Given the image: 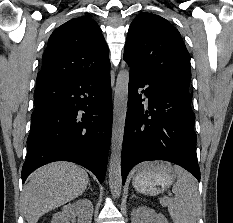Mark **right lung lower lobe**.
Returning a JSON list of instances; mask_svg holds the SVG:
<instances>
[{"mask_svg": "<svg viewBox=\"0 0 233 223\" xmlns=\"http://www.w3.org/2000/svg\"><path fill=\"white\" fill-rule=\"evenodd\" d=\"M22 181L53 161H71L104 181L112 128L110 67L37 86Z\"/></svg>", "mask_w": 233, "mask_h": 223, "instance_id": "98d812e1", "label": "right lung lower lobe"}]
</instances>
